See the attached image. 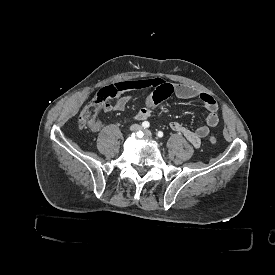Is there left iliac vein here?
<instances>
[{
    "instance_id": "left-iliac-vein-1",
    "label": "left iliac vein",
    "mask_w": 275,
    "mask_h": 275,
    "mask_svg": "<svg viewBox=\"0 0 275 275\" xmlns=\"http://www.w3.org/2000/svg\"><path fill=\"white\" fill-rule=\"evenodd\" d=\"M144 134L146 135V136H148V137H152V133H151V131L150 130H148V129H145L144 130Z\"/></svg>"
}]
</instances>
